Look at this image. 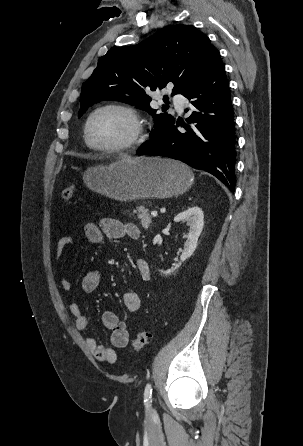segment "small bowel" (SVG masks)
<instances>
[{"label":"small bowel","instance_id":"obj_1","mask_svg":"<svg viewBox=\"0 0 303 446\" xmlns=\"http://www.w3.org/2000/svg\"><path fill=\"white\" fill-rule=\"evenodd\" d=\"M86 239L92 244H100L105 238L110 240H120L124 237L137 239L140 231L132 223H125L115 218H104L99 224L87 223L84 227ZM73 243L70 236L61 237L55 247L56 257L60 258L64 250ZM137 272L142 280L150 279V267L146 260L139 258L135 262ZM100 285V274L96 270L88 271L81 280V287L84 292L92 293ZM62 286L65 290L71 289V282L67 278L62 279ZM123 304L128 312L135 313L141 307V300L135 291H127L122 296ZM70 312L75 319L79 330L84 331L88 327V319L77 303L70 304ZM102 323L111 332L110 341L113 347H106L98 342L94 336L86 338V344L94 357L99 361L114 363L117 359L114 348H124L129 341V332L125 323L113 311H105L102 314Z\"/></svg>","mask_w":303,"mask_h":446}]
</instances>
